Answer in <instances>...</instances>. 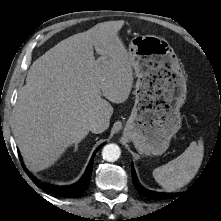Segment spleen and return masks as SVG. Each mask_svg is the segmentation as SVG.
I'll return each mask as SVG.
<instances>
[{"mask_svg": "<svg viewBox=\"0 0 221 221\" xmlns=\"http://www.w3.org/2000/svg\"><path fill=\"white\" fill-rule=\"evenodd\" d=\"M204 156L203 141L191 142L177 158L153 170L156 182L166 191H175L187 185L197 174Z\"/></svg>", "mask_w": 221, "mask_h": 221, "instance_id": "3e777b00", "label": "spleen"}]
</instances>
